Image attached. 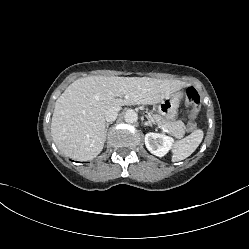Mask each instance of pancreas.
Listing matches in <instances>:
<instances>
[{"mask_svg":"<svg viewBox=\"0 0 249 249\" xmlns=\"http://www.w3.org/2000/svg\"><path fill=\"white\" fill-rule=\"evenodd\" d=\"M151 119L157 126L166 127L169 130L168 133L178 139L185 134V125L182 121L168 122L158 114H154Z\"/></svg>","mask_w":249,"mask_h":249,"instance_id":"1","label":"pancreas"}]
</instances>
